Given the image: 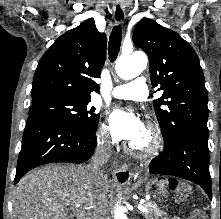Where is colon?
<instances>
[{
	"label": "colon",
	"instance_id": "obj_1",
	"mask_svg": "<svg viewBox=\"0 0 221 219\" xmlns=\"http://www.w3.org/2000/svg\"><path fill=\"white\" fill-rule=\"evenodd\" d=\"M186 191H187V188L184 185L178 184L176 186V195H177L179 200H183L184 199ZM189 219H207V218H206V215L203 212L197 211V212H194L189 217Z\"/></svg>",
	"mask_w": 221,
	"mask_h": 219
}]
</instances>
